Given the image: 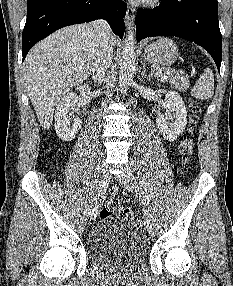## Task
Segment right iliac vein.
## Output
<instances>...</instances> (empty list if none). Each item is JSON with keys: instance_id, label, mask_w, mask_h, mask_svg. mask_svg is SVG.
<instances>
[{"instance_id": "63e3f726", "label": "right iliac vein", "mask_w": 233, "mask_h": 286, "mask_svg": "<svg viewBox=\"0 0 233 286\" xmlns=\"http://www.w3.org/2000/svg\"><path fill=\"white\" fill-rule=\"evenodd\" d=\"M98 177H99L98 178V187H97L96 196L94 199V204L92 207L91 219H95L97 214H98L99 207L101 205V200L105 194V191H106V188L108 186L109 179H110L109 174L105 169H103L100 172Z\"/></svg>"}]
</instances>
